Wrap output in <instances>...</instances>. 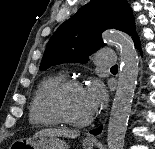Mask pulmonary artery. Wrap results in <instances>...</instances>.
Segmentation results:
<instances>
[{
	"label": "pulmonary artery",
	"instance_id": "e3ab8cb5",
	"mask_svg": "<svg viewBox=\"0 0 155 149\" xmlns=\"http://www.w3.org/2000/svg\"><path fill=\"white\" fill-rule=\"evenodd\" d=\"M117 56L113 50L101 49L97 52L96 63L99 66H109L116 63Z\"/></svg>",
	"mask_w": 155,
	"mask_h": 149
}]
</instances>
